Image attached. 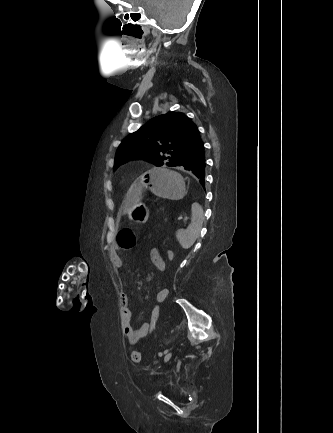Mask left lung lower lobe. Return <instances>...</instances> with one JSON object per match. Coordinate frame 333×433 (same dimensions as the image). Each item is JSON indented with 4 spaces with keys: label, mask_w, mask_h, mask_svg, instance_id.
Segmentation results:
<instances>
[{
    "label": "left lung lower lobe",
    "mask_w": 333,
    "mask_h": 433,
    "mask_svg": "<svg viewBox=\"0 0 333 433\" xmlns=\"http://www.w3.org/2000/svg\"><path fill=\"white\" fill-rule=\"evenodd\" d=\"M177 166L195 175L200 180V183L204 186L206 163L203 142L197 145L182 160H180Z\"/></svg>",
    "instance_id": "1"
}]
</instances>
